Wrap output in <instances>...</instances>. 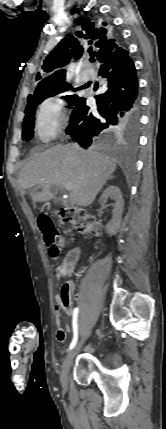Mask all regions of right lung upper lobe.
Listing matches in <instances>:
<instances>
[{
    "instance_id": "right-lung-upper-lobe-1",
    "label": "right lung upper lobe",
    "mask_w": 166,
    "mask_h": 429,
    "mask_svg": "<svg viewBox=\"0 0 166 429\" xmlns=\"http://www.w3.org/2000/svg\"><path fill=\"white\" fill-rule=\"evenodd\" d=\"M83 29H86L84 33L77 32L76 36L72 34L67 35L55 49L48 54L44 60L42 71L43 74L49 73V75L42 79L41 74L38 73L36 80H41L38 85H50L64 82L66 71L64 69L58 70L57 68L68 64L71 56L75 59H79L87 45H93L97 48L94 55L100 62L116 58L120 52L125 51L123 47L119 46L117 39L112 37L111 34L103 28L83 25ZM91 50V48L88 49L89 52H91Z\"/></svg>"
}]
</instances>
